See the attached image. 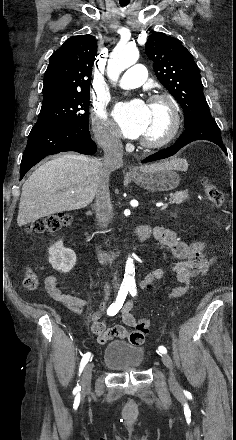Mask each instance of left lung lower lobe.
<instances>
[{
	"label": "left lung lower lobe",
	"instance_id": "left-lung-lower-lobe-1",
	"mask_svg": "<svg viewBox=\"0 0 236 440\" xmlns=\"http://www.w3.org/2000/svg\"><path fill=\"white\" fill-rule=\"evenodd\" d=\"M196 140L211 141L217 144L224 151V153L227 154V149L225 148L221 139L220 130L216 122L212 118L211 114H208L200 117L193 124L187 127L184 133L180 136V138L173 146L159 151L153 155H150L145 160H143V163L168 158L174 155L179 149H181L185 145Z\"/></svg>",
	"mask_w": 236,
	"mask_h": 440
}]
</instances>
